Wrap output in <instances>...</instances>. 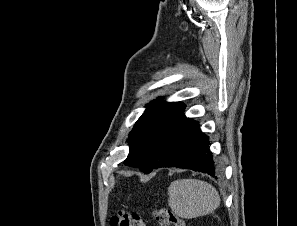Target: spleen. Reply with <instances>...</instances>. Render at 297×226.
<instances>
[{"label": "spleen", "instance_id": "spleen-1", "mask_svg": "<svg viewBox=\"0 0 297 226\" xmlns=\"http://www.w3.org/2000/svg\"><path fill=\"white\" fill-rule=\"evenodd\" d=\"M168 205L175 215L192 219L212 213L220 205L218 191L199 179H178L168 187Z\"/></svg>", "mask_w": 297, "mask_h": 226}]
</instances>
